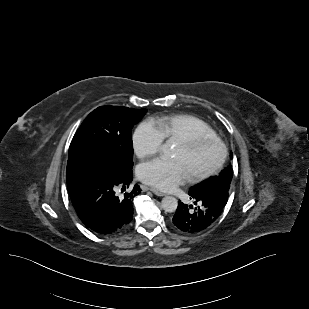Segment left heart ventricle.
I'll return each instance as SVG.
<instances>
[{
	"mask_svg": "<svg viewBox=\"0 0 309 309\" xmlns=\"http://www.w3.org/2000/svg\"><path fill=\"white\" fill-rule=\"evenodd\" d=\"M219 155V149L214 144H206L196 150H188L182 144H178L174 159H179L185 165L190 176L200 174L211 169Z\"/></svg>",
	"mask_w": 309,
	"mask_h": 309,
	"instance_id": "1",
	"label": "left heart ventricle"
}]
</instances>
